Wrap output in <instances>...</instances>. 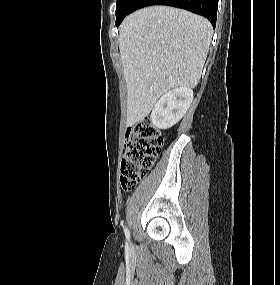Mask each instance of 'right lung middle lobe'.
Masks as SVG:
<instances>
[{
	"label": "right lung middle lobe",
	"mask_w": 280,
	"mask_h": 285,
	"mask_svg": "<svg viewBox=\"0 0 280 285\" xmlns=\"http://www.w3.org/2000/svg\"><path fill=\"white\" fill-rule=\"evenodd\" d=\"M137 0H117L116 23L123 20L126 15L130 14Z\"/></svg>",
	"instance_id": "right-lung-middle-lobe-1"
}]
</instances>
